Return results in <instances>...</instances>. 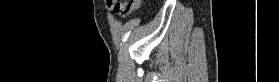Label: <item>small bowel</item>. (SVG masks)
Returning <instances> with one entry per match:
<instances>
[{
	"label": "small bowel",
	"mask_w": 279,
	"mask_h": 82,
	"mask_svg": "<svg viewBox=\"0 0 279 82\" xmlns=\"http://www.w3.org/2000/svg\"><path fill=\"white\" fill-rule=\"evenodd\" d=\"M109 8L113 11V13L120 17H126L130 15L132 12L136 11L139 6H128L125 4H114L111 1H107Z\"/></svg>",
	"instance_id": "c3829d8e"
}]
</instances>
